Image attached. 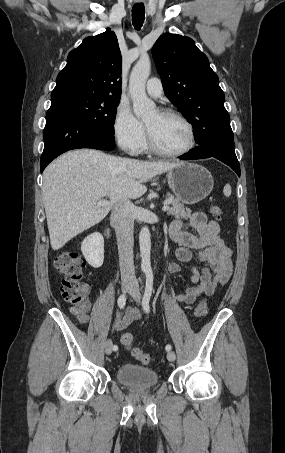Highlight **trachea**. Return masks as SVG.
Segmentation results:
<instances>
[{
  "mask_svg": "<svg viewBox=\"0 0 285 453\" xmlns=\"http://www.w3.org/2000/svg\"><path fill=\"white\" fill-rule=\"evenodd\" d=\"M145 20V8L143 3H137L132 8V22L136 30H140Z\"/></svg>",
  "mask_w": 285,
  "mask_h": 453,
  "instance_id": "trachea-1",
  "label": "trachea"
}]
</instances>
